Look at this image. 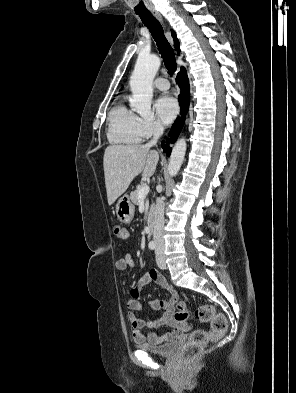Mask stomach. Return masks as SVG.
Instances as JSON below:
<instances>
[{
  "mask_svg": "<svg viewBox=\"0 0 296 393\" xmlns=\"http://www.w3.org/2000/svg\"><path fill=\"white\" fill-rule=\"evenodd\" d=\"M135 207L128 195L122 196L116 204V215L120 222L130 223L134 217Z\"/></svg>",
  "mask_w": 296,
  "mask_h": 393,
  "instance_id": "1",
  "label": "stomach"
}]
</instances>
